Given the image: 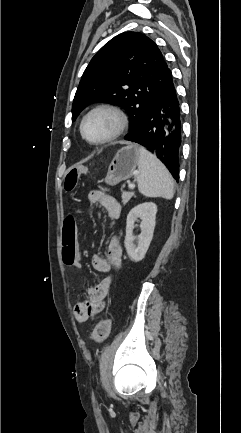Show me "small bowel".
I'll return each instance as SVG.
<instances>
[{
    "mask_svg": "<svg viewBox=\"0 0 241 433\" xmlns=\"http://www.w3.org/2000/svg\"><path fill=\"white\" fill-rule=\"evenodd\" d=\"M90 200L103 209L111 219H117L120 216V204L112 195L102 191H94L90 194ZM91 263L93 268L99 272H109L113 268H120L122 265V246L119 238H111L106 249V256L93 255ZM74 264L80 266L79 251H77V259ZM112 283L113 277L109 276L98 285L86 289V299L79 301L74 307L73 314L77 322L83 323L93 319L104 309Z\"/></svg>",
    "mask_w": 241,
    "mask_h": 433,
    "instance_id": "obj_1",
    "label": "small bowel"
}]
</instances>
